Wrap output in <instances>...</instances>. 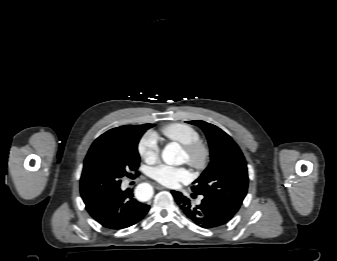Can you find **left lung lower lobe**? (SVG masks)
I'll list each match as a JSON object with an SVG mask.
<instances>
[{
    "instance_id": "obj_1",
    "label": "left lung lower lobe",
    "mask_w": 337,
    "mask_h": 261,
    "mask_svg": "<svg viewBox=\"0 0 337 261\" xmlns=\"http://www.w3.org/2000/svg\"><path fill=\"white\" fill-rule=\"evenodd\" d=\"M176 203L183 213L196 225L213 229L227 224L235 214L229 211L220 203L204 197L202 203L197 207H192L188 198L180 192L172 191Z\"/></svg>"
}]
</instances>
